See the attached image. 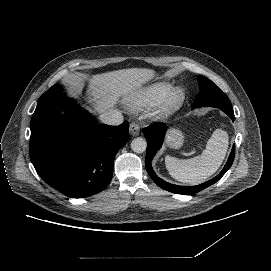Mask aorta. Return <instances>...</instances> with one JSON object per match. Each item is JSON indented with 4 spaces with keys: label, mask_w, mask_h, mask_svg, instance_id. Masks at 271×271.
I'll list each match as a JSON object with an SVG mask.
<instances>
[{
    "label": "aorta",
    "mask_w": 271,
    "mask_h": 271,
    "mask_svg": "<svg viewBox=\"0 0 271 271\" xmlns=\"http://www.w3.org/2000/svg\"><path fill=\"white\" fill-rule=\"evenodd\" d=\"M147 148V142L144 138L142 137H137L132 140L131 142V149L135 153H143Z\"/></svg>",
    "instance_id": "obj_1"
}]
</instances>
